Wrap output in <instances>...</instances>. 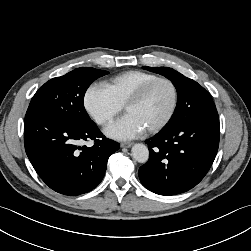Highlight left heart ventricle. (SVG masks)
I'll list each match as a JSON object with an SVG mask.
<instances>
[{"label":"left heart ventricle","instance_id":"left-heart-ventricle-1","mask_svg":"<svg viewBox=\"0 0 251 251\" xmlns=\"http://www.w3.org/2000/svg\"><path fill=\"white\" fill-rule=\"evenodd\" d=\"M172 104V90L165 82L154 85L145 98L127 109L145 130L159 124L168 114Z\"/></svg>","mask_w":251,"mask_h":251}]
</instances>
